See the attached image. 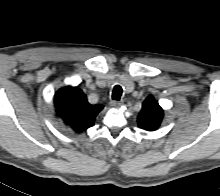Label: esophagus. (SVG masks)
Wrapping results in <instances>:
<instances>
[{"label": "esophagus", "mask_w": 220, "mask_h": 196, "mask_svg": "<svg viewBox=\"0 0 220 196\" xmlns=\"http://www.w3.org/2000/svg\"><path fill=\"white\" fill-rule=\"evenodd\" d=\"M121 105H122L121 101H111L110 102V106L115 109L119 108Z\"/></svg>", "instance_id": "1"}]
</instances>
